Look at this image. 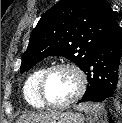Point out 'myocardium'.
Segmentation results:
<instances>
[{
	"label": "myocardium",
	"mask_w": 122,
	"mask_h": 123,
	"mask_svg": "<svg viewBox=\"0 0 122 123\" xmlns=\"http://www.w3.org/2000/svg\"><path fill=\"white\" fill-rule=\"evenodd\" d=\"M59 69L72 70L78 78V88H77L75 94L68 100L61 102V103H53V102H50L45 96V85H46V82H47L49 76L54 71L59 70ZM86 86H87L86 75H85L84 71L79 66H77L73 63H68V62L58 63V64L48 67L45 70V72L43 73V75L41 76L39 84H38V96H39V99L41 100V102L47 107L64 108V107H68V106L72 105L73 103H75L76 101H78L84 94V92L86 90Z\"/></svg>",
	"instance_id": "myocardium-1"
}]
</instances>
